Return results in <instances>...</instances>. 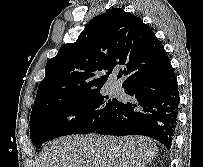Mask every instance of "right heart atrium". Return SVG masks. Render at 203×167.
I'll return each mask as SVG.
<instances>
[{
  "label": "right heart atrium",
  "mask_w": 203,
  "mask_h": 167,
  "mask_svg": "<svg viewBox=\"0 0 203 167\" xmlns=\"http://www.w3.org/2000/svg\"><path fill=\"white\" fill-rule=\"evenodd\" d=\"M77 112L76 111H70L68 114H67V119L69 120H73L77 117Z\"/></svg>",
  "instance_id": "d8ad5b80"
}]
</instances>
